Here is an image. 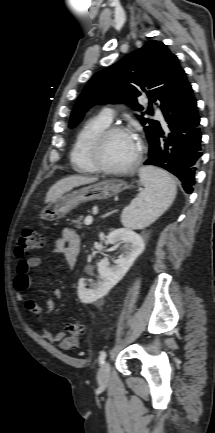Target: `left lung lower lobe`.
Listing matches in <instances>:
<instances>
[{
    "label": "left lung lower lobe",
    "instance_id": "obj_1",
    "mask_svg": "<svg viewBox=\"0 0 215 433\" xmlns=\"http://www.w3.org/2000/svg\"><path fill=\"white\" fill-rule=\"evenodd\" d=\"M169 134L160 130L149 149L145 165L166 169L182 182L186 193L193 191L201 152L200 117L192 87L185 78L163 108Z\"/></svg>",
    "mask_w": 215,
    "mask_h": 433
}]
</instances>
